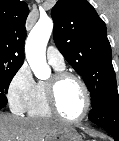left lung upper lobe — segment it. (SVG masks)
I'll return each mask as SVG.
<instances>
[{
  "label": "left lung upper lobe",
  "instance_id": "1",
  "mask_svg": "<svg viewBox=\"0 0 119 141\" xmlns=\"http://www.w3.org/2000/svg\"><path fill=\"white\" fill-rule=\"evenodd\" d=\"M55 44L82 76L92 106L118 95L106 25L86 0L57 1L51 12Z\"/></svg>",
  "mask_w": 119,
  "mask_h": 141
}]
</instances>
